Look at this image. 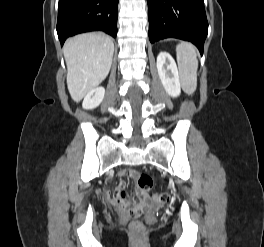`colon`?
Segmentation results:
<instances>
[{"label":"colon","mask_w":264,"mask_h":247,"mask_svg":"<svg viewBox=\"0 0 264 247\" xmlns=\"http://www.w3.org/2000/svg\"><path fill=\"white\" fill-rule=\"evenodd\" d=\"M137 187L143 192H149L153 187V180L151 176L146 173H139L136 178ZM155 202L158 204H165L169 200V195L166 192H161L155 195ZM122 205L129 216L133 218L131 222V227L133 230L138 231L142 228V222L139 217L141 215V208L139 204L136 203H123Z\"/></svg>","instance_id":"1"}]
</instances>
